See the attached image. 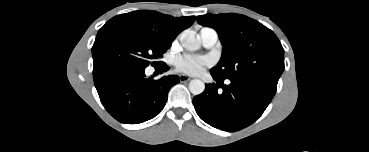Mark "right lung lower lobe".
Wrapping results in <instances>:
<instances>
[{
    "label": "right lung lower lobe",
    "mask_w": 369,
    "mask_h": 152,
    "mask_svg": "<svg viewBox=\"0 0 369 152\" xmlns=\"http://www.w3.org/2000/svg\"><path fill=\"white\" fill-rule=\"evenodd\" d=\"M159 69L165 72L169 67L161 63ZM144 71L143 67L120 65L93 75L102 104L122 123L138 124L158 115L170 88L180 81L175 75L153 80Z\"/></svg>",
    "instance_id": "98d812e1"
}]
</instances>
